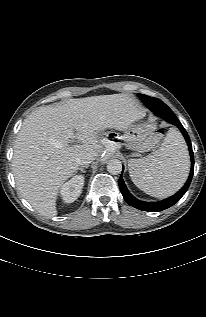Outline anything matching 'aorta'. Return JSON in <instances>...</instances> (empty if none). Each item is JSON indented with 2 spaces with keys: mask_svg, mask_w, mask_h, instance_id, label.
<instances>
[{
  "mask_svg": "<svg viewBox=\"0 0 206 317\" xmlns=\"http://www.w3.org/2000/svg\"><path fill=\"white\" fill-rule=\"evenodd\" d=\"M107 171L112 175H117L122 171V163L118 159H112L107 164Z\"/></svg>",
  "mask_w": 206,
  "mask_h": 317,
  "instance_id": "1",
  "label": "aorta"
}]
</instances>
